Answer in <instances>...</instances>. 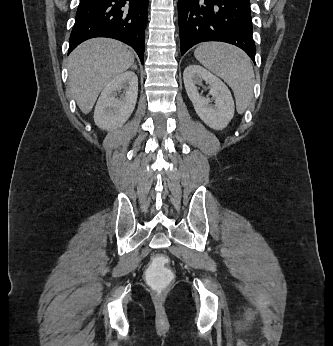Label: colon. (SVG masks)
<instances>
[{"label":"colon","mask_w":333,"mask_h":346,"mask_svg":"<svg viewBox=\"0 0 333 346\" xmlns=\"http://www.w3.org/2000/svg\"><path fill=\"white\" fill-rule=\"evenodd\" d=\"M168 258L164 255L149 257V264L143 270L144 279L148 280L149 288H153L154 294H166L170 288L169 280L175 279V274L168 269Z\"/></svg>","instance_id":"1"}]
</instances>
